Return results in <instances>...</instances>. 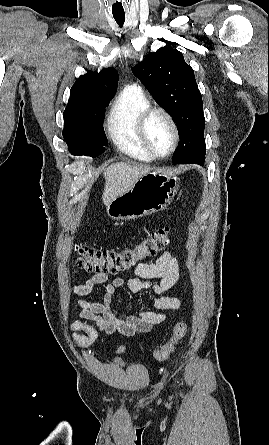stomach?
I'll list each match as a JSON object with an SVG mask.
<instances>
[{
  "instance_id": "1",
  "label": "stomach",
  "mask_w": 269,
  "mask_h": 445,
  "mask_svg": "<svg viewBox=\"0 0 269 445\" xmlns=\"http://www.w3.org/2000/svg\"><path fill=\"white\" fill-rule=\"evenodd\" d=\"M179 184V178L169 172L150 170L107 204L106 212L114 220H131L162 211L172 202Z\"/></svg>"
}]
</instances>
